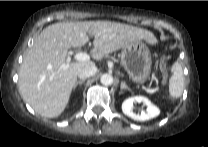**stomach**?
I'll return each instance as SVG.
<instances>
[{"label":"stomach","instance_id":"1","mask_svg":"<svg viewBox=\"0 0 208 147\" xmlns=\"http://www.w3.org/2000/svg\"><path fill=\"white\" fill-rule=\"evenodd\" d=\"M121 63L134 82L143 84L148 79L152 60L148 47L141 41H135L122 49Z\"/></svg>","mask_w":208,"mask_h":147}]
</instances>
